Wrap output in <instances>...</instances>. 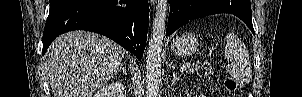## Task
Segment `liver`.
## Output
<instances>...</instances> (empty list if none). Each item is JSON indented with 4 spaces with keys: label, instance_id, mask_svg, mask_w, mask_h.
Instances as JSON below:
<instances>
[{
    "label": "liver",
    "instance_id": "6515ba94",
    "mask_svg": "<svg viewBox=\"0 0 302 97\" xmlns=\"http://www.w3.org/2000/svg\"><path fill=\"white\" fill-rule=\"evenodd\" d=\"M125 49L107 37L71 31L57 37L44 56L54 97H92L118 71Z\"/></svg>",
    "mask_w": 302,
    "mask_h": 97
}]
</instances>
